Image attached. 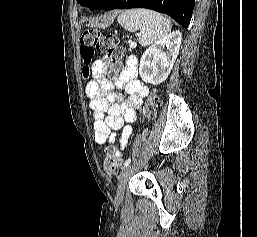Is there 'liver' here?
Instances as JSON below:
<instances>
[{
	"instance_id": "1",
	"label": "liver",
	"mask_w": 257,
	"mask_h": 237,
	"mask_svg": "<svg viewBox=\"0 0 257 237\" xmlns=\"http://www.w3.org/2000/svg\"><path fill=\"white\" fill-rule=\"evenodd\" d=\"M115 16H116V15L113 14V15L110 17L109 22H112V21L114 20Z\"/></svg>"
}]
</instances>
